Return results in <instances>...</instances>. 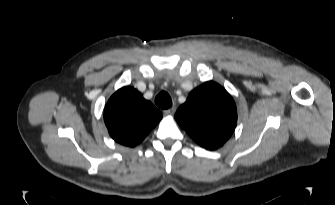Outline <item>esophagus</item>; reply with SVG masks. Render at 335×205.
<instances>
[{
    "label": "esophagus",
    "mask_w": 335,
    "mask_h": 205,
    "mask_svg": "<svg viewBox=\"0 0 335 205\" xmlns=\"http://www.w3.org/2000/svg\"><path fill=\"white\" fill-rule=\"evenodd\" d=\"M175 111H176V108L172 107V108L164 110L163 113L166 116H172L175 113Z\"/></svg>",
    "instance_id": "esophagus-1"
}]
</instances>
